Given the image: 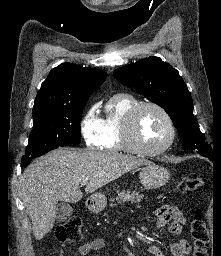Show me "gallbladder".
<instances>
[{"label":"gallbladder","instance_id":"bac80fb5","mask_svg":"<svg viewBox=\"0 0 221 256\" xmlns=\"http://www.w3.org/2000/svg\"><path fill=\"white\" fill-rule=\"evenodd\" d=\"M73 209L68 203H60L56 208V221H65L69 216L72 215Z\"/></svg>","mask_w":221,"mask_h":256}]
</instances>
